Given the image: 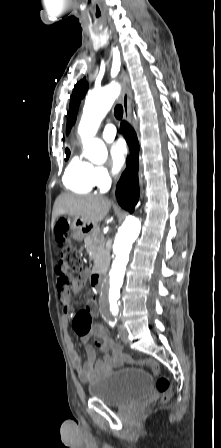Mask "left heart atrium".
I'll return each mask as SVG.
<instances>
[{"label": "left heart atrium", "instance_id": "left-heart-atrium-1", "mask_svg": "<svg viewBox=\"0 0 221 448\" xmlns=\"http://www.w3.org/2000/svg\"><path fill=\"white\" fill-rule=\"evenodd\" d=\"M109 153L112 170L117 173L122 169L125 163L127 148L123 142L117 141L110 146Z\"/></svg>", "mask_w": 221, "mask_h": 448}]
</instances>
